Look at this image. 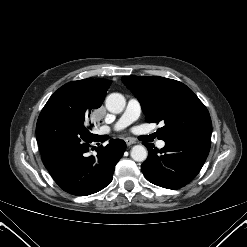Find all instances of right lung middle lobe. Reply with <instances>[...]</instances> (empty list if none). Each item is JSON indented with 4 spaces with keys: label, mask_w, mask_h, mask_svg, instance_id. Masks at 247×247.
I'll use <instances>...</instances> for the list:
<instances>
[{
    "label": "right lung middle lobe",
    "mask_w": 247,
    "mask_h": 247,
    "mask_svg": "<svg viewBox=\"0 0 247 247\" xmlns=\"http://www.w3.org/2000/svg\"><path fill=\"white\" fill-rule=\"evenodd\" d=\"M102 105L97 95L76 82L60 87L47 101L42 111H55L74 118L81 123H89L93 112Z\"/></svg>",
    "instance_id": "1"
}]
</instances>
